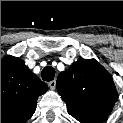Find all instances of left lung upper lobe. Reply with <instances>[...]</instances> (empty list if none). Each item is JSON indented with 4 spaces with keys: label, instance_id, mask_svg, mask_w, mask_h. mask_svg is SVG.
<instances>
[{
    "label": "left lung upper lobe",
    "instance_id": "left-lung-upper-lobe-1",
    "mask_svg": "<svg viewBox=\"0 0 123 123\" xmlns=\"http://www.w3.org/2000/svg\"><path fill=\"white\" fill-rule=\"evenodd\" d=\"M57 89L68 113L79 121L104 119L118 98L111 75L95 59L74 62L61 72Z\"/></svg>",
    "mask_w": 123,
    "mask_h": 123
}]
</instances>
